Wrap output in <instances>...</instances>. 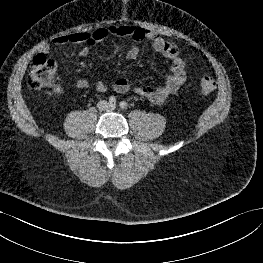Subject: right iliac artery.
I'll return each mask as SVG.
<instances>
[{"label": "right iliac artery", "instance_id": "right-iliac-artery-1", "mask_svg": "<svg viewBox=\"0 0 263 263\" xmlns=\"http://www.w3.org/2000/svg\"><path fill=\"white\" fill-rule=\"evenodd\" d=\"M109 102H110V104L115 105L116 104V98L114 96H111L109 98Z\"/></svg>", "mask_w": 263, "mask_h": 263}]
</instances>
